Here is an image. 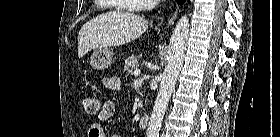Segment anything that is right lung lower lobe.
<instances>
[{
    "label": "right lung lower lobe",
    "mask_w": 280,
    "mask_h": 137,
    "mask_svg": "<svg viewBox=\"0 0 280 137\" xmlns=\"http://www.w3.org/2000/svg\"><path fill=\"white\" fill-rule=\"evenodd\" d=\"M179 4H183L185 0H176Z\"/></svg>",
    "instance_id": "1"
}]
</instances>
